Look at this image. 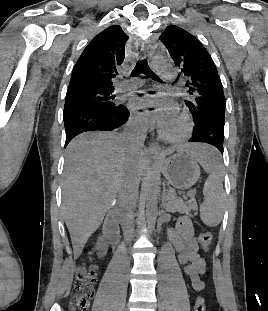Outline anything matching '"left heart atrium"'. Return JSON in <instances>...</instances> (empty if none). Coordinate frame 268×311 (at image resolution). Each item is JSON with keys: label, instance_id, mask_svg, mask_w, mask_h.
Instances as JSON below:
<instances>
[{"label": "left heart atrium", "instance_id": "39dd6f15", "mask_svg": "<svg viewBox=\"0 0 268 311\" xmlns=\"http://www.w3.org/2000/svg\"><path fill=\"white\" fill-rule=\"evenodd\" d=\"M145 97H164L159 102H151L139 97H133L130 100V107L133 109H143L151 105L157 104L161 108L153 110V113L150 115L151 118L157 122L158 125H163L169 122L174 116H176V105L175 103L168 98L165 94H146Z\"/></svg>", "mask_w": 268, "mask_h": 311}]
</instances>
